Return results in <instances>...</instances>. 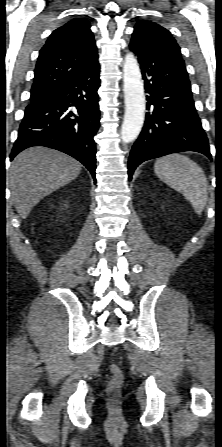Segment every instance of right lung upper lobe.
<instances>
[{
  "label": "right lung upper lobe",
  "instance_id": "obj_1",
  "mask_svg": "<svg viewBox=\"0 0 222 447\" xmlns=\"http://www.w3.org/2000/svg\"><path fill=\"white\" fill-rule=\"evenodd\" d=\"M97 60L95 40L86 19L76 18L54 30L39 53L31 102L48 97Z\"/></svg>",
  "mask_w": 222,
  "mask_h": 447
}]
</instances>
